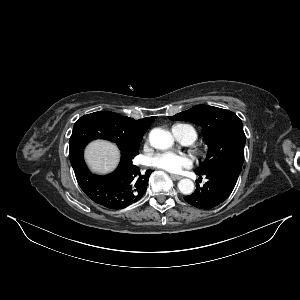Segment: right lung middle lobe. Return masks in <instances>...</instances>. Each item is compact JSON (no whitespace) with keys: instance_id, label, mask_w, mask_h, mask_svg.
<instances>
[{"instance_id":"right-lung-middle-lobe-1","label":"right lung middle lobe","mask_w":300,"mask_h":300,"mask_svg":"<svg viewBox=\"0 0 300 300\" xmlns=\"http://www.w3.org/2000/svg\"><path fill=\"white\" fill-rule=\"evenodd\" d=\"M112 126L100 115L91 113L82 116L74 124L70 137L69 157L71 164L83 157L84 147L97 138L107 139L115 142L121 150L122 158L131 161L138 154L141 140L130 142L114 134Z\"/></svg>"}]
</instances>
